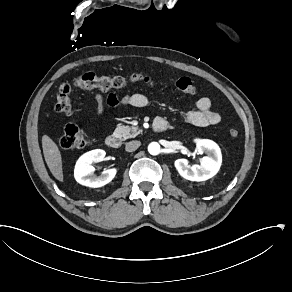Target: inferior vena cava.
Here are the masks:
<instances>
[{
    "label": "inferior vena cava",
    "instance_id": "obj_1",
    "mask_svg": "<svg viewBox=\"0 0 292 292\" xmlns=\"http://www.w3.org/2000/svg\"><path fill=\"white\" fill-rule=\"evenodd\" d=\"M141 145V142L140 141H137V140H133V141H130L128 143H126V151L127 152H133L135 151L139 146Z\"/></svg>",
    "mask_w": 292,
    "mask_h": 292
}]
</instances>
